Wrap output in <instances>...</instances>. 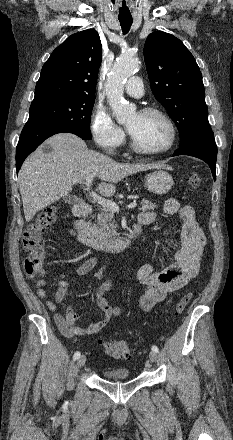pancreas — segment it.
Wrapping results in <instances>:
<instances>
[{
  "mask_svg": "<svg viewBox=\"0 0 233 440\" xmlns=\"http://www.w3.org/2000/svg\"><path fill=\"white\" fill-rule=\"evenodd\" d=\"M140 210L151 211L156 208L155 203H151L148 200L143 199L141 202ZM97 224L93 226L96 235L102 240H109L113 236H117V224L114 220V211L108 208H103L99 211L97 217Z\"/></svg>",
  "mask_w": 233,
  "mask_h": 440,
  "instance_id": "1",
  "label": "pancreas"
}]
</instances>
